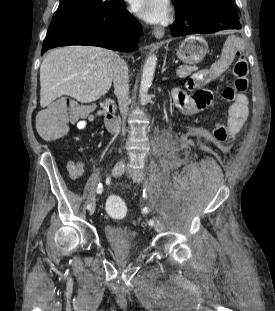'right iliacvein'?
Instances as JSON below:
<instances>
[{
	"instance_id": "right-iliac-vein-1",
	"label": "right iliac vein",
	"mask_w": 275,
	"mask_h": 311,
	"mask_svg": "<svg viewBox=\"0 0 275 311\" xmlns=\"http://www.w3.org/2000/svg\"><path fill=\"white\" fill-rule=\"evenodd\" d=\"M125 160H120L113 168L112 170V176L113 177H119L123 171H124V167H125ZM96 209V205L95 203L91 206V209L89 210V214L93 215Z\"/></svg>"
}]
</instances>
